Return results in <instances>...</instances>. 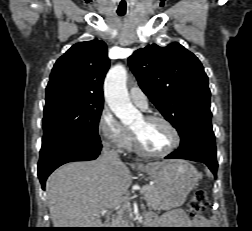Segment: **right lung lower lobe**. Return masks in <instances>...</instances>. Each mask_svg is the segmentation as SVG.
<instances>
[{
    "mask_svg": "<svg viewBox=\"0 0 252 231\" xmlns=\"http://www.w3.org/2000/svg\"><path fill=\"white\" fill-rule=\"evenodd\" d=\"M101 143L82 138L62 137L43 144L38 162V177L42 188L47 177L62 164L71 161H87L97 158Z\"/></svg>",
    "mask_w": 252,
    "mask_h": 231,
    "instance_id": "right-lung-lower-lobe-1",
    "label": "right lung lower lobe"
}]
</instances>
